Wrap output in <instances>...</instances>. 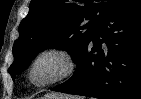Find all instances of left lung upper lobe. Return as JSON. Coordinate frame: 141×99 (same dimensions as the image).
<instances>
[{
	"label": "left lung upper lobe",
	"mask_w": 141,
	"mask_h": 99,
	"mask_svg": "<svg viewBox=\"0 0 141 99\" xmlns=\"http://www.w3.org/2000/svg\"><path fill=\"white\" fill-rule=\"evenodd\" d=\"M117 0H32L13 46L12 79L42 50H66L78 62L106 11ZM90 20L89 22H87Z\"/></svg>",
	"instance_id": "1"
}]
</instances>
